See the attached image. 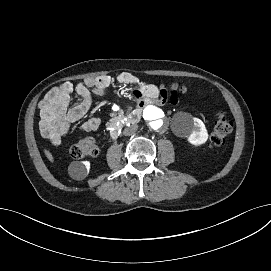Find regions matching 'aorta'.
Here are the masks:
<instances>
[{
  "label": "aorta",
  "mask_w": 271,
  "mask_h": 271,
  "mask_svg": "<svg viewBox=\"0 0 271 271\" xmlns=\"http://www.w3.org/2000/svg\"><path fill=\"white\" fill-rule=\"evenodd\" d=\"M142 116L150 130L161 132L168 126V111L158 105H147L142 110Z\"/></svg>",
  "instance_id": "762f6f07"
}]
</instances>
